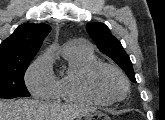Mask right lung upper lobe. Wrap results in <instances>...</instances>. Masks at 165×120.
Returning <instances> with one entry per match:
<instances>
[{"mask_svg": "<svg viewBox=\"0 0 165 120\" xmlns=\"http://www.w3.org/2000/svg\"><path fill=\"white\" fill-rule=\"evenodd\" d=\"M47 24L24 23L0 45V61L33 59L50 32Z\"/></svg>", "mask_w": 165, "mask_h": 120, "instance_id": "obj_1", "label": "right lung upper lobe"}]
</instances>
